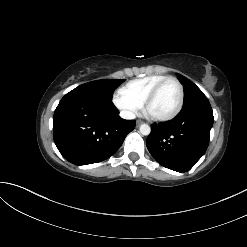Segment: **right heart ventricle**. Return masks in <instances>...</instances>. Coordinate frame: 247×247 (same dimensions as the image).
I'll list each match as a JSON object with an SVG mask.
<instances>
[{
    "label": "right heart ventricle",
    "instance_id": "right-heart-ventricle-1",
    "mask_svg": "<svg viewBox=\"0 0 247 247\" xmlns=\"http://www.w3.org/2000/svg\"><path fill=\"white\" fill-rule=\"evenodd\" d=\"M166 77L163 74H154L132 80L122 88V92L134 101L142 104L154 86Z\"/></svg>",
    "mask_w": 247,
    "mask_h": 247
}]
</instances>
